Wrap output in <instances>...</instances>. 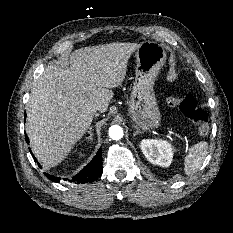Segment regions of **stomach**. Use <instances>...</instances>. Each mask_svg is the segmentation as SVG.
<instances>
[{"instance_id": "obj_1", "label": "stomach", "mask_w": 233, "mask_h": 233, "mask_svg": "<svg viewBox=\"0 0 233 233\" xmlns=\"http://www.w3.org/2000/svg\"><path fill=\"white\" fill-rule=\"evenodd\" d=\"M166 61L163 45L144 41L136 50V77L128 102V115L142 130L161 126V113L154 92V82Z\"/></svg>"}]
</instances>
